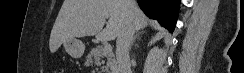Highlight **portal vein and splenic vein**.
<instances>
[{
    "label": "portal vein and splenic vein",
    "mask_w": 244,
    "mask_h": 73,
    "mask_svg": "<svg viewBox=\"0 0 244 73\" xmlns=\"http://www.w3.org/2000/svg\"><path fill=\"white\" fill-rule=\"evenodd\" d=\"M103 50H104L105 53H109V52L112 51V48H111V46L108 43H105L104 47H103Z\"/></svg>",
    "instance_id": "18ae733b"
}]
</instances>
